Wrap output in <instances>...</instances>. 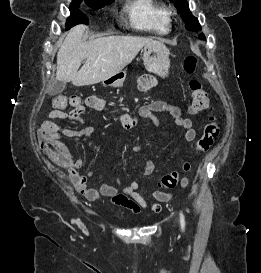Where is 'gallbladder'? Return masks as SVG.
Here are the masks:
<instances>
[{
  "label": "gallbladder",
  "instance_id": "1",
  "mask_svg": "<svg viewBox=\"0 0 261 273\" xmlns=\"http://www.w3.org/2000/svg\"><path fill=\"white\" fill-rule=\"evenodd\" d=\"M66 87V82L65 81H59V80H56L51 89L49 90V94L50 95H57V94H60L61 92H63V90L65 89Z\"/></svg>",
  "mask_w": 261,
  "mask_h": 273
}]
</instances>
